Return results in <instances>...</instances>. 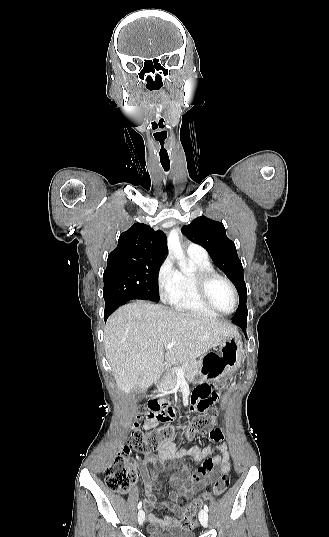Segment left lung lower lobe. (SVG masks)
Returning a JSON list of instances; mask_svg holds the SVG:
<instances>
[{
	"mask_svg": "<svg viewBox=\"0 0 329 537\" xmlns=\"http://www.w3.org/2000/svg\"><path fill=\"white\" fill-rule=\"evenodd\" d=\"M246 325H247V321L245 323H242L240 326L242 330L244 331V333H246Z\"/></svg>",
	"mask_w": 329,
	"mask_h": 537,
	"instance_id": "obj_1",
	"label": "left lung lower lobe"
}]
</instances>
